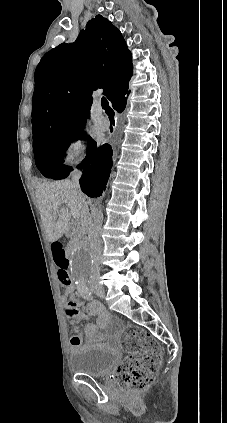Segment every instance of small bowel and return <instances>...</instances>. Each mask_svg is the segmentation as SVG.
<instances>
[{"label": "small bowel", "mask_w": 227, "mask_h": 423, "mask_svg": "<svg viewBox=\"0 0 227 423\" xmlns=\"http://www.w3.org/2000/svg\"><path fill=\"white\" fill-rule=\"evenodd\" d=\"M62 301L65 303L66 317L73 326L78 325L88 317L96 316V322H87L84 327V334L89 342H94L101 338L99 329H106L110 324H118V321L100 303L92 301L85 306L81 300L77 299L73 285L66 287ZM81 344L82 335L79 331H76L70 338L71 349L76 351Z\"/></svg>", "instance_id": "1"}]
</instances>
